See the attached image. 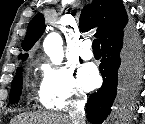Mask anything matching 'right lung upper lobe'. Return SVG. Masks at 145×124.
Returning <instances> with one entry per match:
<instances>
[{
  "label": "right lung upper lobe",
  "instance_id": "right-lung-upper-lobe-1",
  "mask_svg": "<svg viewBox=\"0 0 145 124\" xmlns=\"http://www.w3.org/2000/svg\"><path fill=\"white\" fill-rule=\"evenodd\" d=\"M127 21L122 0H93L83 8L79 27L81 31L87 32L98 26L95 35L102 43L108 37L121 32ZM44 29V17L42 14H37L28 25L27 34L22 42L23 50H29L40 38ZM27 56V53L20 54L19 59L25 60Z\"/></svg>",
  "mask_w": 145,
  "mask_h": 124
}]
</instances>
